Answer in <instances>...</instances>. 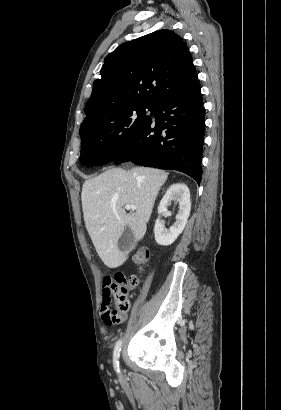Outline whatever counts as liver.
Instances as JSON below:
<instances>
[{
    "label": "liver",
    "mask_w": 281,
    "mask_h": 410,
    "mask_svg": "<svg viewBox=\"0 0 281 410\" xmlns=\"http://www.w3.org/2000/svg\"><path fill=\"white\" fill-rule=\"evenodd\" d=\"M167 178V172L154 168H113L84 182L81 200L85 226L107 267H119L127 260L129 251L118 249L125 227L133 231L135 241L144 237L156 197ZM127 204L136 206L135 212L126 214L123 208Z\"/></svg>",
    "instance_id": "obj_1"
}]
</instances>
